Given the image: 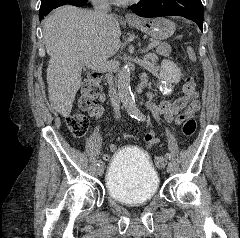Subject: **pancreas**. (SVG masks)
I'll return each instance as SVG.
<instances>
[{"label":"pancreas","mask_w":240,"mask_h":238,"mask_svg":"<svg viewBox=\"0 0 240 238\" xmlns=\"http://www.w3.org/2000/svg\"><path fill=\"white\" fill-rule=\"evenodd\" d=\"M157 43L156 53L163 56H168L171 53V46L167 42L155 41Z\"/></svg>","instance_id":"cf45deb5"}]
</instances>
